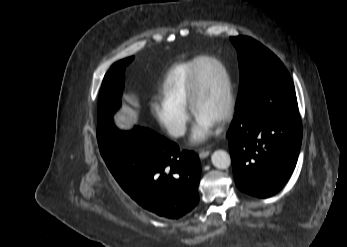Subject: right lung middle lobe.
Here are the masks:
<instances>
[{"label":"right lung middle lobe","instance_id":"right-lung-middle-lobe-1","mask_svg":"<svg viewBox=\"0 0 347 247\" xmlns=\"http://www.w3.org/2000/svg\"><path fill=\"white\" fill-rule=\"evenodd\" d=\"M133 58L132 56L116 62L105 74L99 95L98 124L111 121L113 114L120 107L124 70Z\"/></svg>","mask_w":347,"mask_h":247}]
</instances>
